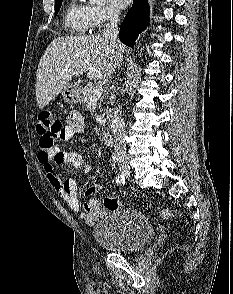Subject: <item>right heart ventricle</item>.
I'll return each mask as SVG.
<instances>
[{
    "mask_svg": "<svg viewBox=\"0 0 233 294\" xmlns=\"http://www.w3.org/2000/svg\"><path fill=\"white\" fill-rule=\"evenodd\" d=\"M63 23L66 30L72 34L87 33L92 28L88 6L77 0H69L65 7Z\"/></svg>",
    "mask_w": 233,
    "mask_h": 294,
    "instance_id": "right-heart-ventricle-1",
    "label": "right heart ventricle"
}]
</instances>
